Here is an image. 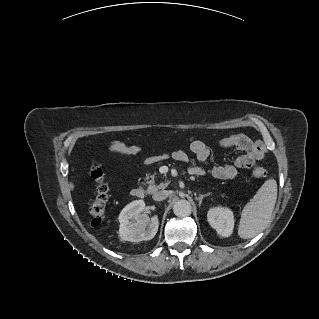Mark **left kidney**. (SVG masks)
Wrapping results in <instances>:
<instances>
[{
  "label": "left kidney",
  "instance_id": "1",
  "mask_svg": "<svg viewBox=\"0 0 319 319\" xmlns=\"http://www.w3.org/2000/svg\"><path fill=\"white\" fill-rule=\"evenodd\" d=\"M207 219L212 228L223 237H229L234 228V214L229 208L214 207L207 213Z\"/></svg>",
  "mask_w": 319,
  "mask_h": 319
}]
</instances>
